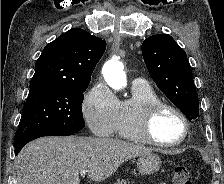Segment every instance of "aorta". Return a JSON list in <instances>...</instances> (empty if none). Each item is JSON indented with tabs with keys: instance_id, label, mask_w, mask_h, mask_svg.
Masks as SVG:
<instances>
[{
	"instance_id": "obj_1",
	"label": "aorta",
	"mask_w": 224,
	"mask_h": 184,
	"mask_svg": "<svg viewBox=\"0 0 224 184\" xmlns=\"http://www.w3.org/2000/svg\"><path fill=\"white\" fill-rule=\"evenodd\" d=\"M123 69V64L117 59L109 60L103 66L102 74L111 88L120 90L126 86L127 79Z\"/></svg>"
}]
</instances>
